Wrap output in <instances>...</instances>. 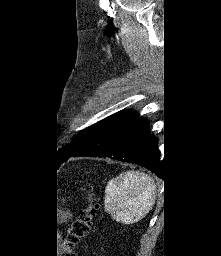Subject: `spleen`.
<instances>
[{
    "mask_svg": "<svg viewBox=\"0 0 221 256\" xmlns=\"http://www.w3.org/2000/svg\"><path fill=\"white\" fill-rule=\"evenodd\" d=\"M156 199L154 179L139 171H127L109 180L105 190V210L121 223L142 219Z\"/></svg>",
    "mask_w": 221,
    "mask_h": 256,
    "instance_id": "obj_1",
    "label": "spleen"
}]
</instances>
